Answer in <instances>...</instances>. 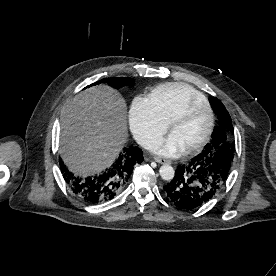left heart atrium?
<instances>
[{
  "label": "left heart atrium",
  "instance_id": "39dd6f15",
  "mask_svg": "<svg viewBox=\"0 0 276 276\" xmlns=\"http://www.w3.org/2000/svg\"><path fill=\"white\" fill-rule=\"evenodd\" d=\"M185 150L184 143L174 132L153 147L155 153L166 157H177Z\"/></svg>",
  "mask_w": 276,
  "mask_h": 276
}]
</instances>
